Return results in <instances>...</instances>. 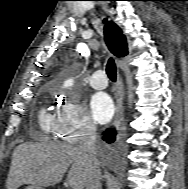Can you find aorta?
I'll return each instance as SVG.
<instances>
[{"instance_id":"aorta-1","label":"aorta","mask_w":188,"mask_h":189,"mask_svg":"<svg viewBox=\"0 0 188 189\" xmlns=\"http://www.w3.org/2000/svg\"><path fill=\"white\" fill-rule=\"evenodd\" d=\"M73 79H67L65 82H64V86L65 87H71L73 85Z\"/></svg>"}]
</instances>
